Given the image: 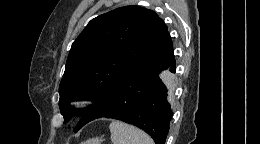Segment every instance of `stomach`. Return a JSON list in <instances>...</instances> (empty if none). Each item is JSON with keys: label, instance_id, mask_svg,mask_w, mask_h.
I'll list each match as a JSON object with an SVG mask.
<instances>
[{"label": "stomach", "instance_id": "stomach-1", "mask_svg": "<svg viewBox=\"0 0 260 144\" xmlns=\"http://www.w3.org/2000/svg\"><path fill=\"white\" fill-rule=\"evenodd\" d=\"M102 142H103L102 137H100V138L95 137V138H92V139H88V140L82 142L81 144H102Z\"/></svg>", "mask_w": 260, "mask_h": 144}]
</instances>
